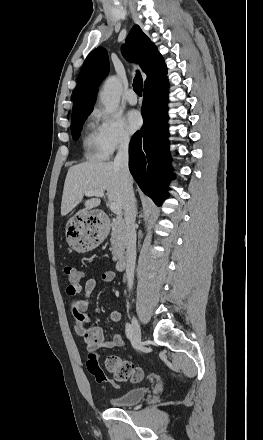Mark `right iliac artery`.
<instances>
[{
    "label": "right iliac artery",
    "instance_id": "obj_1",
    "mask_svg": "<svg viewBox=\"0 0 263 440\" xmlns=\"http://www.w3.org/2000/svg\"><path fill=\"white\" fill-rule=\"evenodd\" d=\"M125 331H126V336H127V338H128V339H131V338H132V326H131L130 323H127V324H126V329H125Z\"/></svg>",
    "mask_w": 263,
    "mask_h": 440
}]
</instances>
